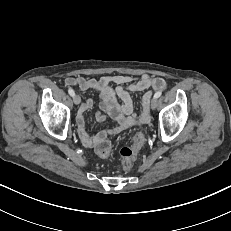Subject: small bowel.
<instances>
[{
    "label": "small bowel",
    "mask_w": 231,
    "mask_h": 231,
    "mask_svg": "<svg viewBox=\"0 0 231 231\" xmlns=\"http://www.w3.org/2000/svg\"><path fill=\"white\" fill-rule=\"evenodd\" d=\"M65 83L74 86L81 91L92 89L99 93V112L96 115L98 121H104L106 115L114 119L117 125L110 131H101L96 135H90L85 126L84 113L93 106L92 99H86L77 114L76 121L78 134L85 147H96L98 142L110 134H116L125 129L145 124L149 119L148 104L151 96L150 88L164 90L167 87L166 81L157 76L143 74L140 77L129 75H108L99 79H87L84 77H67ZM131 92H143L141 96V113H134V101Z\"/></svg>",
    "instance_id": "1"
}]
</instances>
